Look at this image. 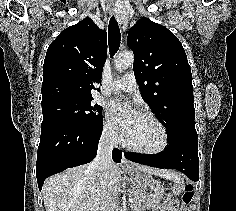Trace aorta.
Wrapping results in <instances>:
<instances>
[{
    "mask_svg": "<svg viewBox=\"0 0 236 211\" xmlns=\"http://www.w3.org/2000/svg\"><path fill=\"white\" fill-rule=\"evenodd\" d=\"M134 63V55L131 52L120 53L115 59V67L119 70L131 67ZM121 110V106H119Z\"/></svg>",
    "mask_w": 236,
    "mask_h": 211,
    "instance_id": "1",
    "label": "aorta"
}]
</instances>
